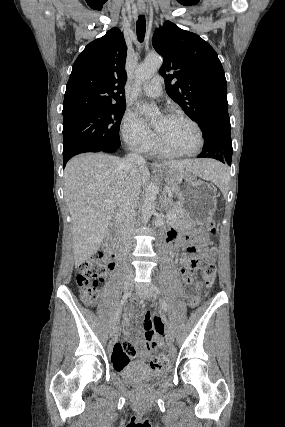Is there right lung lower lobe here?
Here are the masks:
<instances>
[{
    "mask_svg": "<svg viewBox=\"0 0 285 427\" xmlns=\"http://www.w3.org/2000/svg\"><path fill=\"white\" fill-rule=\"evenodd\" d=\"M63 162H64V166H63V167H65V165H66L67 161H63Z\"/></svg>",
    "mask_w": 285,
    "mask_h": 427,
    "instance_id": "right-lung-lower-lobe-1",
    "label": "right lung lower lobe"
}]
</instances>
